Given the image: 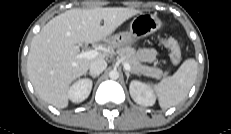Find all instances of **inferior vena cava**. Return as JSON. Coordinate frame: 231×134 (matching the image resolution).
Wrapping results in <instances>:
<instances>
[{
	"label": "inferior vena cava",
	"mask_w": 231,
	"mask_h": 134,
	"mask_svg": "<svg viewBox=\"0 0 231 134\" xmlns=\"http://www.w3.org/2000/svg\"><path fill=\"white\" fill-rule=\"evenodd\" d=\"M107 67V63L105 60H95L90 66L89 70L92 75H100Z\"/></svg>",
	"instance_id": "602c4592"
}]
</instances>
